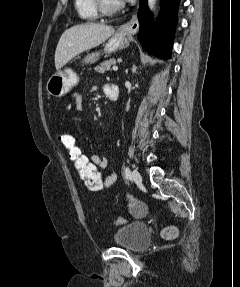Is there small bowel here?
<instances>
[{"mask_svg": "<svg viewBox=\"0 0 240 287\" xmlns=\"http://www.w3.org/2000/svg\"><path fill=\"white\" fill-rule=\"evenodd\" d=\"M109 88V84L105 85L103 90L106 94ZM73 104L76 112L81 111V98L78 94L73 95ZM91 161L99 168L105 169L108 165L107 159L102 155L93 154L89 156ZM117 175L115 172H111L108 176L104 177V186H111L116 181ZM126 202L130 212L137 216L138 212H143L144 214L147 212V206L133 195H126Z\"/></svg>", "mask_w": 240, "mask_h": 287, "instance_id": "c3829d8e", "label": "small bowel"}]
</instances>
